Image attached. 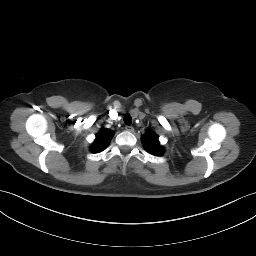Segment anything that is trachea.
I'll use <instances>...</instances> for the list:
<instances>
[{
    "label": "trachea",
    "mask_w": 256,
    "mask_h": 256,
    "mask_svg": "<svg viewBox=\"0 0 256 256\" xmlns=\"http://www.w3.org/2000/svg\"><path fill=\"white\" fill-rule=\"evenodd\" d=\"M124 123H125L126 125H131V123H132V118H131L130 115H125V116H124Z\"/></svg>",
    "instance_id": "trachea-1"
}]
</instances>
